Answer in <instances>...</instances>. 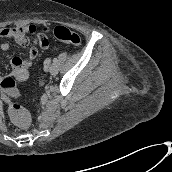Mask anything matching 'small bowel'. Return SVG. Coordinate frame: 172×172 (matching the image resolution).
Returning a JSON list of instances; mask_svg holds the SVG:
<instances>
[{
    "mask_svg": "<svg viewBox=\"0 0 172 172\" xmlns=\"http://www.w3.org/2000/svg\"><path fill=\"white\" fill-rule=\"evenodd\" d=\"M48 30L47 26L42 27V32L37 33L34 38V44L38 45L41 49L47 50L49 48V41L44 34ZM37 31L36 25L29 26H16V27H3L0 28V40L4 39H13L19 45L26 47L30 44L29 35L35 33ZM10 48V44L7 41L0 42L1 50H8ZM38 55V50L36 46H32L29 50L28 59L23 60L22 58L15 56L10 60V65L15 72L16 75H21L25 68L29 67L31 61L34 60Z\"/></svg>",
    "mask_w": 172,
    "mask_h": 172,
    "instance_id": "1",
    "label": "small bowel"
}]
</instances>
